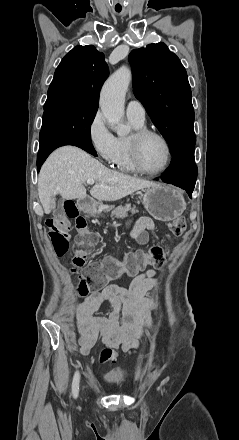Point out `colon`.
Returning a JSON list of instances; mask_svg holds the SVG:
<instances>
[{
	"instance_id": "colon-1",
	"label": "colon",
	"mask_w": 239,
	"mask_h": 440,
	"mask_svg": "<svg viewBox=\"0 0 239 440\" xmlns=\"http://www.w3.org/2000/svg\"><path fill=\"white\" fill-rule=\"evenodd\" d=\"M67 219L75 220L76 246L71 259V270L76 272L85 266L87 258L92 254L96 236L88 229L86 220L78 213L75 203L68 200L63 205V212L46 222V227L53 249L57 255L65 254L69 249V234ZM186 228L183 217L175 218L169 225L171 236H180ZM167 250L160 246H153L149 251H138L130 255L125 261L118 262L114 259H106L92 263L82 271V279L79 284V292L87 294L92 288L105 285L111 279L121 276L123 273L136 274L147 265L161 266L166 258ZM111 350H103L100 356L102 362L112 360Z\"/></svg>"
}]
</instances>
